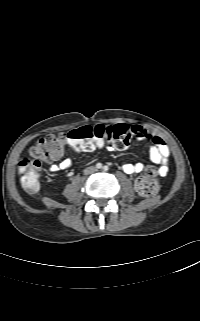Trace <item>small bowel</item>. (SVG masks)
I'll use <instances>...</instances> for the list:
<instances>
[{"mask_svg":"<svg viewBox=\"0 0 200 321\" xmlns=\"http://www.w3.org/2000/svg\"><path fill=\"white\" fill-rule=\"evenodd\" d=\"M130 128L133 131V136L137 140H151L152 144L149 149V158L152 163L158 165V173L161 176H165L168 173V157L170 153L165 141L151 130L145 129L142 126L134 125ZM107 146L112 149L116 148L111 142H107ZM62 155L63 151L49 161L51 163L49 167L50 172L55 173L60 170H67L72 166V160L69 158L61 159ZM58 160H60L59 163H55ZM122 168L126 174H135L141 173L145 169V165L142 162L126 163Z\"/></svg>","mask_w":200,"mask_h":321,"instance_id":"small-bowel-1","label":"small bowel"}]
</instances>
